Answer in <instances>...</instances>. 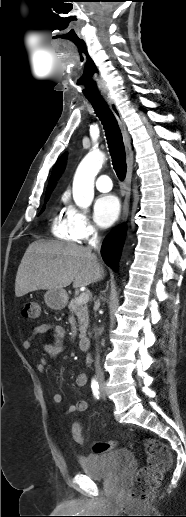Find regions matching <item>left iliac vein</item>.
Listing matches in <instances>:
<instances>
[{"mask_svg":"<svg viewBox=\"0 0 186 517\" xmlns=\"http://www.w3.org/2000/svg\"><path fill=\"white\" fill-rule=\"evenodd\" d=\"M105 397H106L105 390H104V388H101V398L105 399Z\"/></svg>","mask_w":186,"mask_h":517,"instance_id":"4c4485c4","label":"left iliac vein"}]
</instances>
